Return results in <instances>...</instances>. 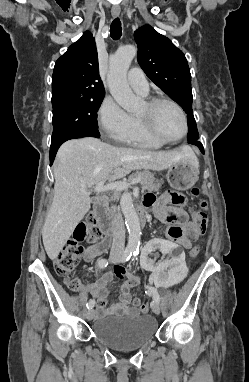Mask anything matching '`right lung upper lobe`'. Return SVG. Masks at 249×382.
<instances>
[{"label":"right lung upper lobe","instance_id":"right-lung-upper-lobe-1","mask_svg":"<svg viewBox=\"0 0 249 382\" xmlns=\"http://www.w3.org/2000/svg\"><path fill=\"white\" fill-rule=\"evenodd\" d=\"M105 96L99 75L95 39L89 31L56 61L52 77V106Z\"/></svg>","mask_w":249,"mask_h":382}]
</instances>
